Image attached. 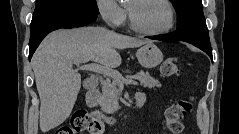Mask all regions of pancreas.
<instances>
[{
  "instance_id": "pancreas-1",
  "label": "pancreas",
  "mask_w": 239,
  "mask_h": 134,
  "mask_svg": "<svg viewBox=\"0 0 239 134\" xmlns=\"http://www.w3.org/2000/svg\"><path fill=\"white\" fill-rule=\"evenodd\" d=\"M138 79L141 85L145 88H160L161 83L151 77L148 72L138 71L134 75ZM119 83L116 80L112 82H104L102 84V97L100 98V106L103 112L108 114L116 113L119 109Z\"/></svg>"
}]
</instances>
